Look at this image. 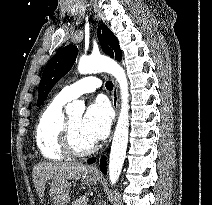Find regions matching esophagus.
<instances>
[{
	"mask_svg": "<svg viewBox=\"0 0 212 205\" xmlns=\"http://www.w3.org/2000/svg\"><path fill=\"white\" fill-rule=\"evenodd\" d=\"M113 83H114V88H113V93H112V104H113V107L116 111V117L118 116V111H119V95H118V88H117V83L115 80H113ZM112 139V135L110 136L109 140H108V143L106 145V147L108 146V144L110 143ZM90 173L92 174H96L98 175L99 174V169L98 167H94L90 170Z\"/></svg>",
	"mask_w": 212,
	"mask_h": 205,
	"instance_id": "obj_1",
	"label": "esophagus"
}]
</instances>
